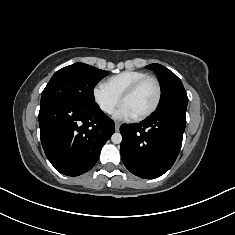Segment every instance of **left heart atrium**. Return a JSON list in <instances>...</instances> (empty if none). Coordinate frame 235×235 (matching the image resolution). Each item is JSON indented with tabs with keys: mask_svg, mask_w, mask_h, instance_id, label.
Listing matches in <instances>:
<instances>
[{
	"mask_svg": "<svg viewBox=\"0 0 235 235\" xmlns=\"http://www.w3.org/2000/svg\"><path fill=\"white\" fill-rule=\"evenodd\" d=\"M114 117L119 120H132L136 116L126 105L122 104L115 112Z\"/></svg>",
	"mask_w": 235,
	"mask_h": 235,
	"instance_id": "39dd6f15",
	"label": "left heart atrium"
}]
</instances>
